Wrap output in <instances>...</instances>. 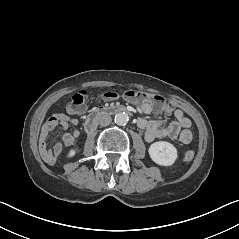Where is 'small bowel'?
Segmentation results:
<instances>
[{
	"label": "small bowel",
	"instance_id": "c3829d8e",
	"mask_svg": "<svg viewBox=\"0 0 239 239\" xmlns=\"http://www.w3.org/2000/svg\"><path fill=\"white\" fill-rule=\"evenodd\" d=\"M140 109L145 114L159 112L148 102L143 103ZM165 112L167 114H173L175 117V120L166 127L163 126L160 120H147L145 118L138 120V126L144 130V139L147 142H152L155 139L169 138L177 140L181 144L190 143L193 139V133L190 130L192 125L190 119L187 118L184 112L179 108L175 110H165ZM78 123L79 121L76 118H71L65 114H55L43 124L39 136V151L42 159L47 164L53 165L63 151V145L60 142L55 143L52 149L48 148L47 143L51 132L57 126L66 130L70 125L76 126ZM78 136V130L65 132L62 135V141L66 147H71L74 145Z\"/></svg>",
	"mask_w": 239,
	"mask_h": 239
}]
</instances>
